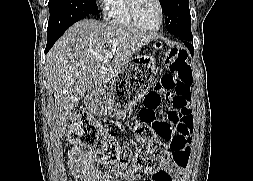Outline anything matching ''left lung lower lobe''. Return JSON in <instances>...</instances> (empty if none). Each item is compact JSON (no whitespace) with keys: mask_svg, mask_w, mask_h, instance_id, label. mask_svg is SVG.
<instances>
[{"mask_svg":"<svg viewBox=\"0 0 253 181\" xmlns=\"http://www.w3.org/2000/svg\"><path fill=\"white\" fill-rule=\"evenodd\" d=\"M183 39V38H181ZM185 42V45L188 47L190 53L193 55V45L189 43L190 40L183 39Z\"/></svg>","mask_w":253,"mask_h":181,"instance_id":"1","label":"left lung lower lobe"}]
</instances>
